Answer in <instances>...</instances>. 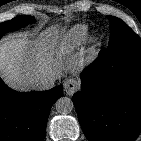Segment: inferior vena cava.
I'll use <instances>...</instances> for the list:
<instances>
[{
  "label": "inferior vena cava",
  "mask_w": 141,
  "mask_h": 141,
  "mask_svg": "<svg viewBox=\"0 0 141 141\" xmlns=\"http://www.w3.org/2000/svg\"><path fill=\"white\" fill-rule=\"evenodd\" d=\"M56 80H57L56 75H46L44 77L37 79L34 82V88L39 91L49 90L54 87V83Z\"/></svg>",
  "instance_id": "inferior-vena-cava-1"
}]
</instances>
